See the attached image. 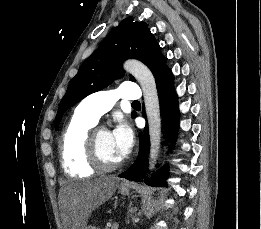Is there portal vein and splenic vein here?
Instances as JSON below:
<instances>
[{"label": "portal vein and splenic vein", "instance_id": "1", "mask_svg": "<svg viewBox=\"0 0 261 229\" xmlns=\"http://www.w3.org/2000/svg\"><path fill=\"white\" fill-rule=\"evenodd\" d=\"M118 224H120V221L115 220L114 223L112 224L113 229H119Z\"/></svg>", "mask_w": 261, "mask_h": 229}]
</instances>
